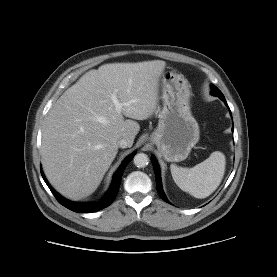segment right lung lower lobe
<instances>
[{"label":"right lung lower lobe","instance_id":"obj_1","mask_svg":"<svg viewBox=\"0 0 277 277\" xmlns=\"http://www.w3.org/2000/svg\"><path fill=\"white\" fill-rule=\"evenodd\" d=\"M135 154L136 153L131 154L123 161L122 165L119 167V169L114 174L111 187L109 188L106 196L97 203H81V202L69 201V200L65 199L64 197H62L60 194H58L55 190H53V188L48 184L42 170H41V175H42L45 183L48 185L49 189L51 190V192L53 193V195L55 196V198L58 200V202L60 204H62L64 207H66L74 212L91 213V212H95V211L101 210V209L109 206L114 201V199L118 193L119 187H120L123 171L126 168V166L129 164V162L133 159Z\"/></svg>","mask_w":277,"mask_h":277}]
</instances>
